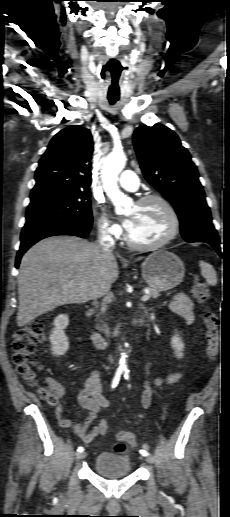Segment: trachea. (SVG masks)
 <instances>
[{"label": "trachea", "mask_w": 230, "mask_h": 517, "mask_svg": "<svg viewBox=\"0 0 230 517\" xmlns=\"http://www.w3.org/2000/svg\"><path fill=\"white\" fill-rule=\"evenodd\" d=\"M108 100L110 102V104H115L118 100H119V97L118 96H114L112 94H108Z\"/></svg>", "instance_id": "obj_1"}]
</instances>
